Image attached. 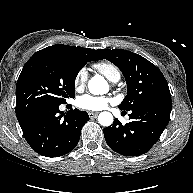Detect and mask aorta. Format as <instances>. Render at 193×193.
Here are the masks:
<instances>
[{
  "label": "aorta",
  "instance_id": "1",
  "mask_svg": "<svg viewBox=\"0 0 193 193\" xmlns=\"http://www.w3.org/2000/svg\"><path fill=\"white\" fill-rule=\"evenodd\" d=\"M88 89L91 94L99 95L107 93L109 86L102 76L96 75L89 80ZM98 122L102 126H110L113 123V115L107 111L101 112L98 116Z\"/></svg>",
  "mask_w": 193,
  "mask_h": 193
}]
</instances>
